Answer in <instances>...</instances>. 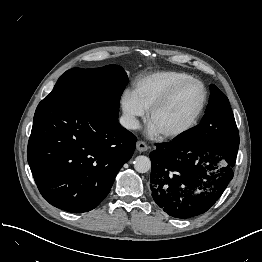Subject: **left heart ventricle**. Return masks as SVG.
Returning a JSON list of instances; mask_svg holds the SVG:
<instances>
[{"label": "left heart ventricle", "mask_w": 262, "mask_h": 262, "mask_svg": "<svg viewBox=\"0 0 262 262\" xmlns=\"http://www.w3.org/2000/svg\"><path fill=\"white\" fill-rule=\"evenodd\" d=\"M201 100V87L197 84L187 85L153 116L151 123L160 133L177 130L189 122L197 111Z\"/></svg>", "instance_id": "1"}]
</instances>
